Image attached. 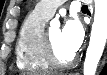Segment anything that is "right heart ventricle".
<instances>
[{"label": "right heart ventricle", "instance_id": "obj_1", "mask_svg": "<svg viewBox=\"0 0 107 75\" xmlns=\"http://www.w3.org/2000/svg\"><path fill=\"white\" fill-rule=\"evenodd\" d=\"M47 20L36 10L24 19L15 47L19 69L32 72H45L50 69L43 49V32Z\"/></svg>", "mask_w": 107, "mask_h": 75}]
</instances>
